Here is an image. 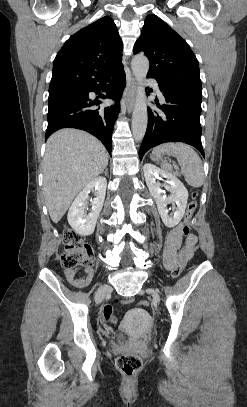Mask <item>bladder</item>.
I'll return each mask as SVG.
<instances>
[{"label":"bladder","mask_w":247,"mask_h":407,"mask_svg":"<svg viewBox=\"0 0 247 407\" xmlns=\"http://www.w3.org/2000/svg\"><path fill=\"white\" fill-rule=\"evenodd\" d=\"M117 339H118L119 341H125V340L128 339V336L126 335L125 332L120 331V332L117 333Z\"/></svg>","instance_id":"1"}]
</instances>
